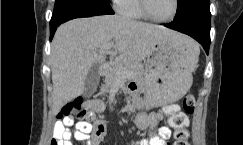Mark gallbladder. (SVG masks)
Segmentation results:
<instances>
[{"instance_id": "obj_1", "label": "gallbladder", "mask_w": 243, "mask_h": 145, "mask_svg": "<svg viewBox=\"0 0 243 145\" xmlns=\"http://www.w3.org/2000/svg\"><path fill=\"white\" fill-rule=\"evenodd\" d=\"M99 64H94L85 79L83 95L90 97L97 89L99 83Z\"/></svg>"}]
</instances>
